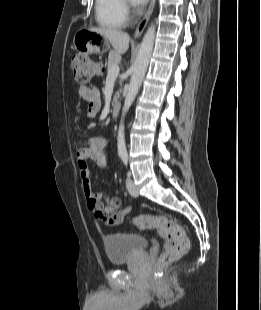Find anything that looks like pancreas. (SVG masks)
<instances>
[{
    "label": "pancreas",
    "instance_id": "pancreas-1",
    "mask_svg": "<svg viewBox=\"0 0 261 310\" xmlns=\"http://www.w3.org/2000/svg\"><path fill=\"white\" fill-rule=\"evenodd\" d=\"M120 61H121L120 54L115 51H111L108 56L107 70H109L112 66L118 65ZM118 98H119V93L117 92L114 96V101L117 102Z\"/></svg>",
    "mask_w": 261,
    "mask_h": 310
}]
</instances>
